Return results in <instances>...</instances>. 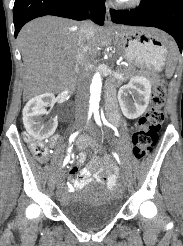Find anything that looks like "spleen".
<instances>
[{
  "instance_id": "obj_1",
  "label": "spleen",
  "mask_w": 183,
  "mask_h": 246,
  "mask_svg": "<svg viewBox=\"0 0 183 246\" xmlns=\"http://www.w3.org/2000/svg\"><path fill=\"white\" fill-rule=\"evenodd\" d=\"M169 47H170L169 63H168V67L166 69V76L168 78L173 75V72L175 69V64L177 61V49H176V47L172 43H169Z\"/></svg>"
}]
</instances>
